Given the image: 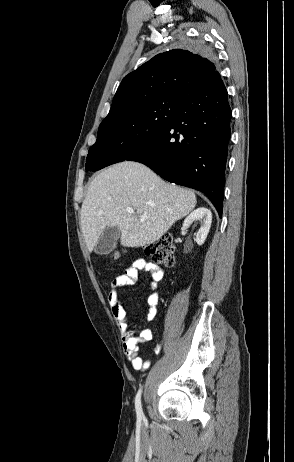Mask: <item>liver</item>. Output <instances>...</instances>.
<instances>
[{"instance_id":"obj_1","label":"liver","mask_w":294,"mask_h":462,"mask_svg":"<svg viewBox=\"0 0 294 462\" xmlns=\"http://www.w3.org/2000/svg\"><path fill=\"white\" fill-rule=\"evenodd\" d=\"M196 202L193 191L166 183L141 163L112 165L92 180L82 203L81 230L88 251L107 227L115 226L122 246L151 244L188 215ZM128 207L134 213L126 212Z\"/></svg>"}]
</instances>
